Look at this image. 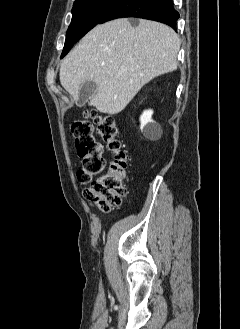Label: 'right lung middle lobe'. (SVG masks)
<instances>
[{"label":"right lung middle lobe","mask_w":240,"mask_h":329,"mask_svg":"<svg viewBox=\"0 0 240 329\" xmlns=\"http://www.w3.org/2000/svg\"><path fill=\"white\" fill-rule=\"evenodd\" d=\"M121 0H75L67 31L63 58L81 37L90 31Z\"/></svg>","instance_id":"right-lung-middle-lobe-1"}]
</instances>
